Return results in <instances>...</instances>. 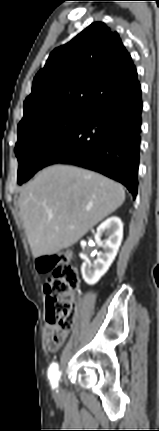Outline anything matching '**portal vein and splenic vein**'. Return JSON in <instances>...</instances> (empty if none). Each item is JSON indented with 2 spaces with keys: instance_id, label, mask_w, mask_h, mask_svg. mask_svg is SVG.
I'll use <instances>...</instances> for the list:
<instances>
[{
  "instance_id": "1",
  "label": "portal vein and splenic vein",
  "mask_w": 159,
  "mask_h": 431,
  "mask_svg": "<svg viewBox=\"0 0 159 431\" xmlns=\"http://www.w3.org/2000/svg\"><path fill=\"white\" fill-rule=\"evenodd\" d=\"M87 211L89 210V209H86ZM53 217V215H50V218H52Z\"/></svg>"
}]
</instances>
